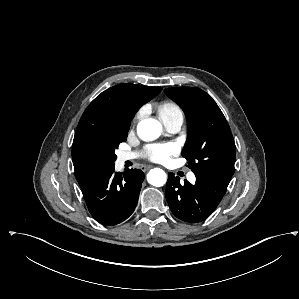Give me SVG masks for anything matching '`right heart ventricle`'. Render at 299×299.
I'll return each instance as SVG.
<instances>
[{"label": "right heart ventricle", "instance_id": "obj_1", "mask_svg": "<svg viewBox=\"0 0 299 299\" xmlns=\"http://www.w3.org/2000/svg\"><path fill=\"white\" fill-rule=\"evenodd\" d=\"M157 112L162 121L167 119L182 116V110L178 104L172 101H164L157 106Z\"/></svg>", "mask_w": 299, "mask_h": 299}]
</instances>
